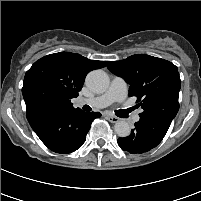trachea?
I'll list each match as a JSON object with an SVG mask.
<instances>
[{
	"label": "trachea",
	"mask_w": 201,
	"mask_h": 201,
	"mask_svg": "<svg viewBox=\"0 0 201 201\" xmlns=\"http://www.w3.org/2000/svg\"><path fill=\"white\" fill-rule=\"evenodd\" d=\"M83 110L85 111H91V107L88 105L83 106Z\"/></svg>",
	"instance_id": "trachea-1"
}]
</instances>
